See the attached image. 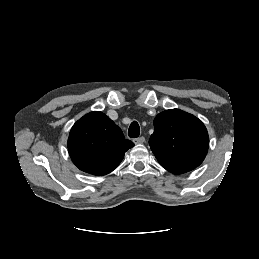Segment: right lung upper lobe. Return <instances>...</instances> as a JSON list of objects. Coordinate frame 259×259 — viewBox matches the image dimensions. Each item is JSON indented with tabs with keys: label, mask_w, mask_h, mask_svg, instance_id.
Segmentation results:
<instances>
[{
	"label": "right lung upper lobe",
	"mask_w": 259,
	"mask_h": 259,
	"mask_svg": "<svg viewBox=\"0 0 259 259\" xmlns=\"http://www.w3.org/2000/svg\"><path fill=\"white\" fill-rule=\"evenodd\" d=\"M73 163L82 171L102 176L112 172L134 144L105 114L94 111L79 119L68 138Z\"/></svg>",
	"instance_id": "right-lung-upper-lobe-1"
}]
</instances>
